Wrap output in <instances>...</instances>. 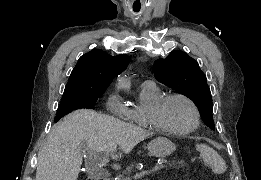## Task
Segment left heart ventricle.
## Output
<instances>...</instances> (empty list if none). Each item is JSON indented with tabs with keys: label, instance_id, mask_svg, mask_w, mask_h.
<instances>
[{
	"label": "left heart ventricle",
	"instance_id": "obj_1",
	"mask_svg": "<svg viewBox=\"0 0 261 180\" xmlns=\"http://www.w3.org/2000/svg\"><path fill=\"white\" fill-rule=\"evenodd\" d=\"M156 116L168 130L175 132L188 129L194 121L193 110L181 100L171 101Z\"/></svg>",
	"mask_w": 261,
	"mask_h": 180
}]
</instances>
